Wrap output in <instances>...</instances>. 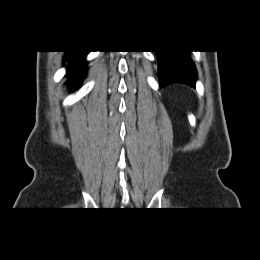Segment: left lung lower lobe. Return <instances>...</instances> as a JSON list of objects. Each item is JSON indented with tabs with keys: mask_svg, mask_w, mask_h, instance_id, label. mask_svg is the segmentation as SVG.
<instances>
[{
	"mask_svg": "<svg viewBox=\"0 0 260 260\" xmlns=\"http://www.w3.org/2000/svg\"><path fill=\"white\" fill-rule=\"evenodd\" d=\"M159 60L160 87L179 82L195 87L197 71L187 50L155 51Z\"/></svg>",
	"mask_w": 260,
	"mask_h": 260,
	"instance_id": "1",
	"label": "left lung lower lobe"
}]
</instances>
